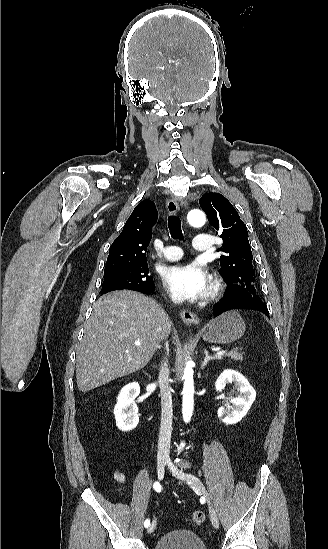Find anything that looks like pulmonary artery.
<instances>
[{"label":"pulmonary artery","instance_id":"e3ab8cb5","mask_svg":"<svg viewBox=\"0 0 328 549\" xmlns=\"http://www.w3.org/2000/svg\"><path fill=\"white\" fill-rule=\"evenodd\" d=\"M194 246L199 252H210L213 250V241L209 237H196L194 239ZM186 249L184 246H175L173 250L167 248L164 251V256L168 261H175L180 257H184Z\"/></svg>","mask_w":328,"mask_h":549}]
</instances>
